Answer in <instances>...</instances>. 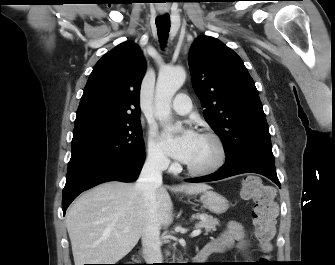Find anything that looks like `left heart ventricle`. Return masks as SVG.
Wrapping results in <instances>:
<instances>
[{
	"label": "left heart ventricle",
	"instance_id": "1",
	"mask_svg": "<svg viewBox=\"0 0 335 265\" xmlns=\"http://www.w3.org/2000/svg\"><path fill=\"white\" fill-rule=\"evenodd\" d=\"M216 157L217 147L215 143L210 139L199 136L187 164L194 168H204L212 164Z\"/></svg>",
	"mask_w": 335,
	"mask_h": 265
}]
</instances>
